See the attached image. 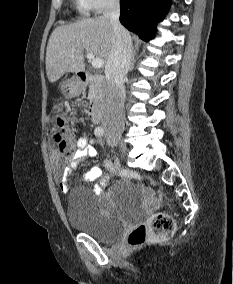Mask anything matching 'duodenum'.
Listing matches in <instances>:
<instances>
[{"label": "duodenum", "instance_id": "1", "mask_svg": "<svg viewBox=\"0 0 233 284\" xmlns=\"http://www.w3.org/2000/svg\"><path fill=\"white\" fill-rule=\"evenodd\" d=\"M78 86L91 84L96 92L95 101L88 109V115L93 123H100L103 119L105 109V98L107 81L104 75L91 74L87 71L77 73Z\"/></svg>", "mask_w": 233, "mask_h": 284}]
</instances>
